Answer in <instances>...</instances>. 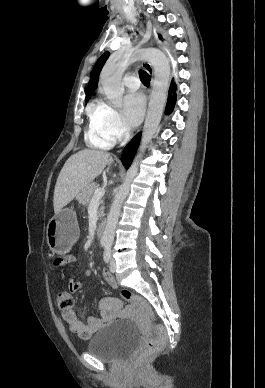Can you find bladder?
Segmentation results:
<instances>
[{"label":"bladder","instance_id":"31cf9c89","mask_svg":"<svg viewBox=\"0 0 265 388\" xmlns=\"http://www.w3.org/2000/svg\"><path fill=\"white\" fill-rule=\"evenodd\" d=\"M138 336V329L131 321L109 324L99 330L90 340L87 351L104 361H118L131 350Z\"/></svg>","mask_w":265,"mask_h":388}]
</instances>
